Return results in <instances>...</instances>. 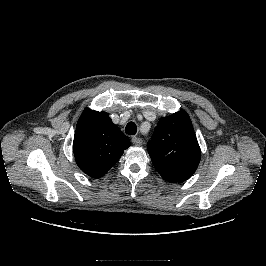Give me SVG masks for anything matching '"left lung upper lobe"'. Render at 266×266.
I'll return each instance as SVG.
<instances>
[{
  "label": "left lung upper lobe",
  "mask_w": 266,
  "mask_h": 266,
  "mask_svg": "<svg viewBox=\"0 0 266 266\" xmlns=\"http://www.w3.org/2000/svg\"><path fill=\"white\" fill-rule=\"evenodd\" d=\"M147 149L157 172L171 183L189 179L201 158L190 117L184 110L159 120Z\"/></svg>",
  "instance_id": "5c2ea615"
}]
</instances>
